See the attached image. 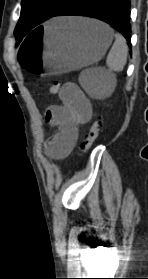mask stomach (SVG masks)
<instances>
[{
	"label": "stomach",
	"mask_w": 148,
	"mask_h": 279,
	"mask_svg": "<svg viewBox=\"0 0 148 279\" xmlns=\"http://www.w3.org/2000/svg\"><path fill=\"white\" fill-rule=\"evenodd\" d=\"M38 33L28 34L18 53L19 72L30 82L48 78L99 61L112 39L106 24L83 18L58 19L53 24H36Z\"/></svg>",
	"instance_id": "obj_1"
}]
</instances>
